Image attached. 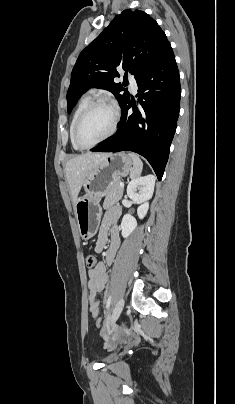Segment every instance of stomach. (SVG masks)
<instances>
[{
    "label": "stomach",
    "mask_w": 235,
    "mask_h": 404,
    "mask_svg": "<svg viewBox=\"0 0 235 404\" xmlns=\"http://www.w3.org/2000/svg\"><path fill=\"white\" fill-rule=\"evenodd\" d=\"M133 165V160L124 152L110 153L97 165L83 182L85 194L78 198L74 205L78 230L82 239L92 238L98 230L102 208L101 198L106 188L121 177L127 176Z\"/></svg>",
    "instance_id": "1"
}]
</instances>
